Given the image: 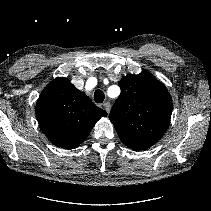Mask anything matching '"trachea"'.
Returning a JSON list of instances; mask_svg holds the SVG:
<instances>
[{
    "label": "trachea",
    "mask_w": 211,
    "mask_h": 211,
    "mask_svg": "<svg viewBox=\"0 0 211 211\" xmlns=\"http://www.w3.org/2000/svg\"><path fill=\"white\" fill-rule=\"evenodd\" d=\"M105 99V95H104V92L102 90H96L94 92V100L97 102V103H103Z\"/></svg>",
    "instance_id": "trachea-1"
}]
</instances>
